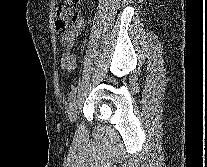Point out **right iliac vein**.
<instances>
[{
  "label": "right iliac vein",
  "mask_w": 207,
  "mask_h": 167,
  "mask_svg": "<svg viewBox=\"0 0 207 167\" xmlns=\"http://www.w3.org/2000/svg\"><path fill=\"white\" fill-rule=\"evenodd\" d=\"M77 108H78V99H74L70 103L69 112H68L69 120H70L71 123H74L75 120H76Z\"/></svg>",
  "instance_id": "63e3f726"
}]
</instances>
